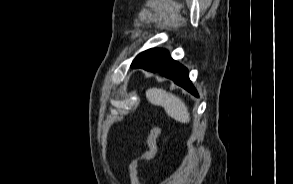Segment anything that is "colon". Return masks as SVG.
I'll return each instance as SVG.
<instances>
[{"instance_id": "obj_1", "label": "colon", "mask_w": 293, "mask_h": 184, "mask_svg": "<svg viewBox=\"0 0 293 184\" xmlns=\"http://www.w3.org/2000/svg\"><path fill=\"white\" fill-rule=\"evenodd\" d=\"M161 134V127L159 125H155L147 138V150L142 153L140 156L133 159L129 166L130 172V181L131 184H142L139 177V166L141 163L145 161H149L153 159L157 153L158 146V138Z\"/></svg>"}]
</instances>
